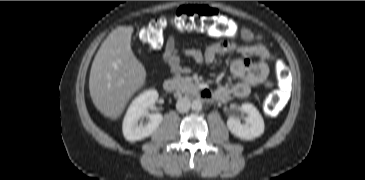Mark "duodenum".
I'll use <instances>...</instances> for the list:
<instances>
[{"instance_id":"1","label":"duodenum","mask_w":365,"mask_h":180,"mask_svg":"<svg viewBox=\"0 0 365 180\" xmlns=\"http://www.w3.org/2000/svg\"><path fill=\"white\" fill-rule=\"evenodd\" d=\"M180 86V81L176 79H167L163 83V87L167 92H172L178 89ZM196 97L202 102H210L213 99V93L207 88H201L195 85L189 86Z\"/></svg>"}]
</instances>
